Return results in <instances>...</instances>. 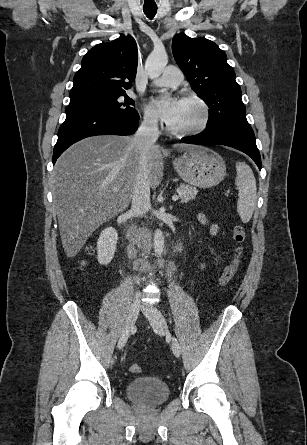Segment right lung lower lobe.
<instances>
[{"mask_svg":"<svg viewBox=\"0 0 307 445\" xmlns=\"http://www.w3.org/2000/svg\"><path fill=\"white\" fill-rule=\"evenodd\" d=\"M138 117H128L112 112H76L66 115L58 131L52 162L73 143L95 135H129L138 127Z\"/></svg>","mask_w":307,"mask_h":445,"instance_id":"right-lung-lower-lobe-1","label":"right lung lower lobe"}]
</instances>
